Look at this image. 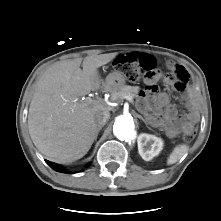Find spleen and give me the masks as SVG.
<instances>
[{
	"label": "spleen",
	"mask_w": 221,
	"mask_h": 221,
	"mask_svg": "<svg viewBox=\"0 0 221 221\" xmlns=\"http://www.w3.org/2000/svg\"><path fill=\"white\" fill-rule=\"evenodd\" d=\"M188 150L189 146L186 144H179L175 146L167 159V164H175L182 158L183 155H185L188 152Z\"/></svg>",
	"instance_id": "1"
}]
</instances>
